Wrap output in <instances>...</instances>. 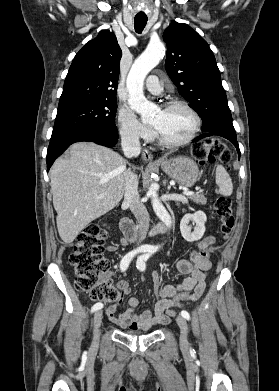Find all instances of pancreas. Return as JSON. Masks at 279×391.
<instances>
[{"label":"pancreas","instance_id":"pancreas-1","mask_svg":"<svg viewBox=\"0 0 279 391\" xmlns=\"http://www.w3.org/2000/svg\"><path fill=\"white\" fill-rule=\"evenodd\" d=\"M188 198L200 205H205L207 203V198L202 193L189 195Z\"/></svg>","mask_w":279,"mask_h":391}]
</instances>
